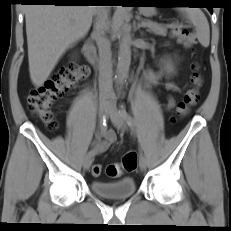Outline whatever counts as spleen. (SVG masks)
Returning <instances> with one entry per match:
<instances>
[{
	"label": "spleen",
	"instance_id": "3e777b00",
	"mask_svg": "<svg viewBox=\"0 0 231 231\" xmlns=\"http://www.w3.org/2000/svg\"><path fill=\"white\" fill-rule=\"evenodd\" d=\"M179 11L196 27V37L202 46L208 47L210 42V29L207 18L198 8L181 7Z\"/></svg>",
	"mask_w": 231,
	"mask_h": 231
}]
</instances>
